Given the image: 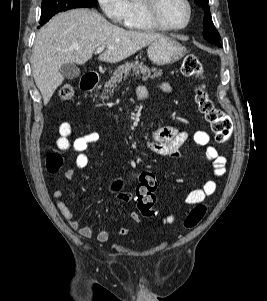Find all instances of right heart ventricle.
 Returning a JSON list of instances; mask_svg holds the SVG:
<instances>
[{
    "mask_svg": "<svg viewBox=\"0 0 267 301\" xmlns=\"http://www.w3.org/2000/svg\"><path fill=\"white\" fill-rule=\"evenodd\" d=\"M128 15L125 27L135 31H160L145 16L142 0H127Z\"/></svg>",
    "mask_w": 267,
    "mask_h": 301,
    "instance_id": "e07e8e85",
    "label": "right heart ventricle"
}]
</instances>
